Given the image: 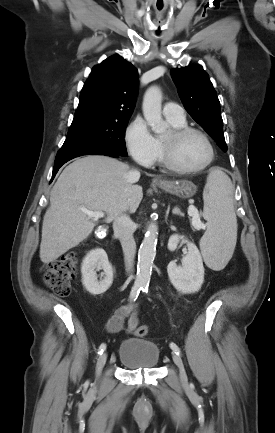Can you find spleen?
I'll list each match as a JSON object with an SVG mask.
<instances>
[{
  "mask_svg": "<svg viewBox=\"0 0 275 433\" xmlns=\"http://www.w3.org/2000/svg\"><path fill=\"white\" fill-rule=\"evenodd\" d=\"M207 230L200 240L205 263L221 270L231 259L237 241V219L233 206V185L218 168L210 171L203 191Z\"/></svg>",
  "mask_w": 275,
  "mask_h": 433,
  "instance_id": "spleen-1",
  "label": "spleen"
}]
</instances>
